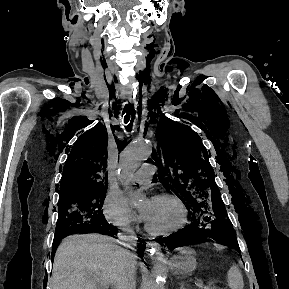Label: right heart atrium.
Segmentation results:
<instances>
[{
	"instance_id": "right-heart-atrium-1",
	"label": "right heart atrium",
	"mask_w": 289,
	"mask_h": 289,
	"mask_svg": "<svg viewBox=\"0 0 289 289\" xmlns=\"http://www.w3.org/2000/svg\"><path fill=\"white\" fill-rule=\"evenodd\" d=\"M103 212L106 220L123 231H131L136 225V218L122 198L109 192L104 200Z\"/></svg>"
}]
</instances>
